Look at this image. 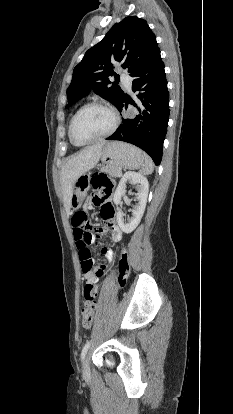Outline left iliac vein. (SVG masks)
Listing matches in <instances>:
<instances>
[{
  "label": "left iliac vein",
  "instance_id": "1",
  "mask_svg": "<svg viewBox=\"0 0 233 414\" xmlns=\"http://www.w3.org/2000/svg\"><path fill=\"white\" fill-rule=\"evenodd\" d=\"M89 373L88 358L86 357L83 361V374L87 375Z\"/></svg>",
  "mask_w": 233,
  "mask_h": 414
}]
</instances>
